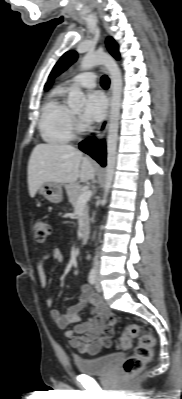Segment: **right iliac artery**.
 Wrapping results in <instances>:
<instances>
[{"label": "right iliac artery", "mask_w": 182, "mask_h": 399, "mask_svg": "<svg viewBox=\"0 0 182 399\" xmlns=\"http://www.w3.org/2000/svg\"><path fill=\"white\" fill-rule=\"evenodd\" d=\"M96 278H97L96 270H95V269H92V270L90 271V273H89V276H88V281H89V283H90L91 285H94V284L96 283Z\"/></svg>", "instance_id": "82829eb1"}]
</instances>
